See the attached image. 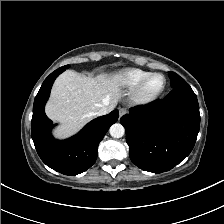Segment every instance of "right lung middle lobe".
I'll return each instance as SVG.
<instances>
[{
  "label": "right lung middle lobe",
  "mask_w": 224,
  "mask_h": 224,
  "mask_svg": "<svg viewBox=\"0 0 224 224\" xmlns=\"http://www.w3.org/2000/svg\"><path fill=\"white\" fill-rule=\"evenodd\" d=\"M63 68H64V69H67V68H69V65L63 66Z\"/></svg>",
  "instance_id": "right-lung-middle-lobe-1"
}]
</instances>
